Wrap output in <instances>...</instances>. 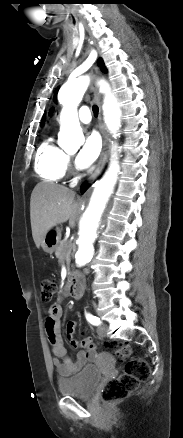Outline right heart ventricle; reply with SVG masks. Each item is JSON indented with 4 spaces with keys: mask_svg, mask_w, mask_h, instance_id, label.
I'll list each match as a JSON object with an SVG mask.
<instances>
[{
    "mask_svg": "<svg viewBox=\"0 0 183 438\" xmlns=\"http://www.w3.org/2000/svg\"><path fill=\"white\" fill-rule=\"evenodd\" d=\"M67 154L50 141H45L36 154V172L46 181L59 182L66 174Z\"/></svg>",
    "mask_w": 183,
    "mask_h": 438,
    "instance_id": "1",
    "label": "right heart ventricle"
}]
</instances>
